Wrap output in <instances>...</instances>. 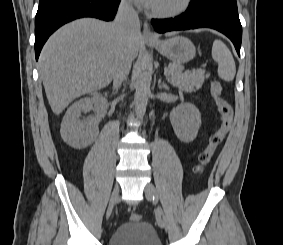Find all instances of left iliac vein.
I'll list each match as a JSON object with an SVG mask.
<instances>
[{
	"label": "left iliac vein",
	"mask_w": 283,
	"mask_h": 245,
	"mask_svg": "<svg viewBox=\"0 0 283 245\" xmlns=\"http://www.w3.org/2000/svg\"><path fill=\"white\" fill-rule=\"evenodd\" d=\"M144 194L146 198L150 201H156L157 200V191L152 183H147L144 189ZM161 228L168 229V224L164 217H161V222L159 224Z\"/></svg>",
	"instance_id": "obj_1"
}]
</instances>
